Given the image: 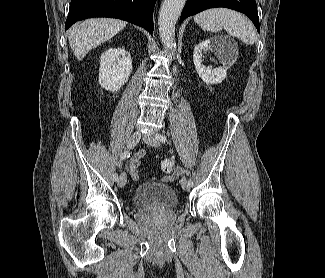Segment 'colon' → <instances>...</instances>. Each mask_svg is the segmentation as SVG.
I'll return each mask as SVG.
<instances>
[{"mask_svg":"<svg viewBox=\"0 0 325 278\" xmlns=\"http://www.w3.org/2000/svg\"><path fill=\"white\" fill-rule=\"evenodd\" d=\"M175 169V162L173 159H166L161 163V170L166 175V179L170 178V175Z\"/></svg>","mask_w":325,"mask_h":278,"instance_id":"obj_1","label":"colon"}]
</instances>
